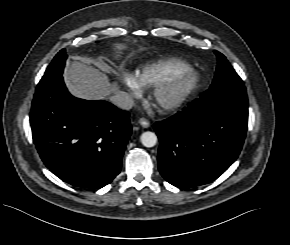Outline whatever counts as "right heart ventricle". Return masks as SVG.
I'll return each mask as SVG.
<instances>
[{"mask_svg":"<svg viewBox=\"0 0 290 245\" xmlns=\"http://www.w3.org/2000/svg\"><path fill=\"white\" fill-rule=\"evenodd\" d=\"M187 68H190V65L184 60L164 58L136 69L132 76L141 90H147L167 75L183 71Z\"/></svg>","mask_w":290,"mask_h":245,"instance_id":"obj_1","label":"right heart ventricle"}]
</instances>
